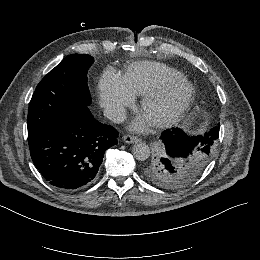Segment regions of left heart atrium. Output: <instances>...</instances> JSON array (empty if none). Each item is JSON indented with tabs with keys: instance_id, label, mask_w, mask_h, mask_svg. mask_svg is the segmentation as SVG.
Listing matches in <instances>:
<instances>
[{
	"instance_id": "39dd6f15",
	"label": "left heart atrium",
	"mask_w": 260,
	"mask_h": 260,
	"mask_svg": "<svg viewBox=\"0 0 260 260\" xmlns=\"http://www.w3.org/2000/svg\"><path fill=\"white\" fill-rule=\"evenodd\" d=\"M146 125H147L146 120L143 118H139L132 123L131 128L135 130H140L144 128Z\"/></svg>"
}]
</instances>
